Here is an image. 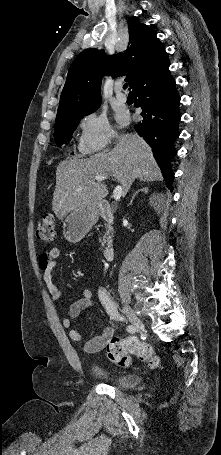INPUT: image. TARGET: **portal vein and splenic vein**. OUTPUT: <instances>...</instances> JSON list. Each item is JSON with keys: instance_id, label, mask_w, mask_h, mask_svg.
Here are the masks:
<instances>
[{"instance_id": "portal-vein-and-splenic-vein-1", "label": "portal vein and splenic vein", "mask_w": 221, "mask_h": 455, "mask_svg": "<svg viewBox=\"0 0 221 455\" xmlns=\"http://www.w3.org/2000/svg\"><path fill=\"white\" fill-rule=\"evenodd\" d=\"M110 176L109 175H106V174H103V175H95L94 176V179L97 180V181H103L105 179H109ZM122 193H123V189L120 185L116 186L114 191H113V198L115 201H118L121 196H122Z\"/></svg>"}]
</instances>
